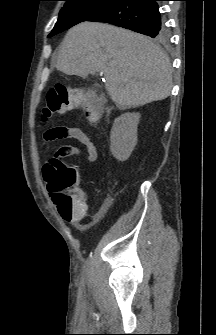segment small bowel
Returning a JSON list of instances; mask_svg holds the SVG:
<instances>
[{
    "label": "small bowel",
    "mask_w": 216,
    "mask_h": 335,
    "mask_svg": "<svg viewBox=\"0 0 216 335\" xmlns=\"http://www.w3.org/2000/svg\"><path fill=\"white\" fill-rule=\"evenodd\" d=\"M44 139L46 141L66 139L76 140L82 145L83 149L75 145H67L70 148V155L83 156L88 162H94L98 158V149L96 145L80 128L66 126L54 127L46 131ZM51 169L52 167L48 164V162L43 167V178L47 183L50 192H52V188L49 185V173ZM52 196H54V194H52ZM74 199L80 204V209L65 216V219L69 223L80 230H86L100 220V212H97L90 217L87 195L83 190L78 189ZM88 218L90 219L88 220Z\"/></svg>",
    "instance_id": "small-bowel-1"
}]
</instances>
